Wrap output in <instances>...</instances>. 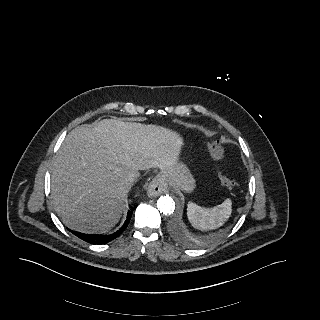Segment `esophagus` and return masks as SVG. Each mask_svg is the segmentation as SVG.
<instances>
[{
	"label": "esophagus",
	"instance_id": "obj_1",
	"mask_svg": "<svg viewBox=\"0 0 320 320\" xmlns=\"http://www.w3.org/2000/svg\"><path fill=\"white\" fill-rule=\"evenodd\" d=\"M167 189V180L163 175L155 176L147 188V194L150 197H156L164 193Z\"/></svg>",
	"mask_w": 320,
	"mask_h": 320
}]
</instances>
